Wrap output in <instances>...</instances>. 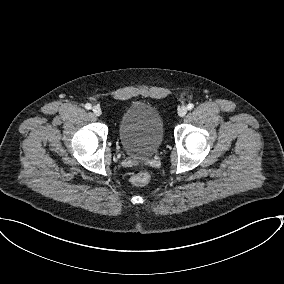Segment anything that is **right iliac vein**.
<instances>
[{
	"label": "right iliac vein",
	"mask_w": 284,
	"mask_h": 284,
	"mask_svg": "<svg viewBox=\"0 0 284 284\" xmlns=\"http://www.w3.org/2000/svg\"><path fill=\"white\" fill-rule=\"evenodd\" d=\"M92 111L96 116H100L102 114V110L99 106H94L92 108Z\"/></svg>",
	"instance_id": "1"
}]
</instances>
